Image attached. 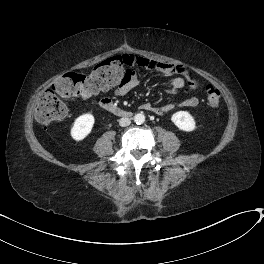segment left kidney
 <instances>
[{"mask_svg":"<svg viewBox=\"0 0 264 264\" xmlns=\"http://www.w3.org/2000/svg\"><path fill=\"white\" fill-rule=\"evenodd\" d=\"M171 120L182 131L190 132L196 128L193 116L187 111H178L174 113Z\"/></svg>","mask_w":264,"mask_h":264,"instance_id":"left-kidney-1","label":"left kidney"}]
</instances>
